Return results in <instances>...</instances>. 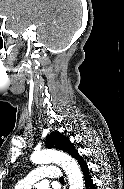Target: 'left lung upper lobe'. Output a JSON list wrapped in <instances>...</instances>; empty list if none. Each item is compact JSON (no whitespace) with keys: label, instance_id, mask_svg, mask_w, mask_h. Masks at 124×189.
I'll return each instance as SVG.
<instances>
[{"label":"left lung upper lobe","instance_id":"5c2ea615","mask_svg":"<svg viewBox=\"0 0 124 189\" xmlns=\"http://www.w3.org/2000/svg\"><path fill=\"white\" fill-rule=\"evenodd\" d=\"M46 147L62 150L70 154L73 158L78 155V152L74 149L70 140L61 133H51L46 137Z\"/></svg>","mask_w":124,"mask_h":189}]
</instances>
